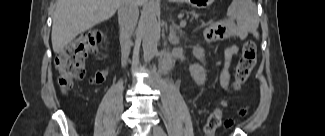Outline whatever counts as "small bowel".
I'll return each instance as SVG.
<instances>
[{"mask_svg": "<svg viewBox=\"0 0 325 136\" xmlns=\"http://www.w3.org/2000/svg\"><path fill=\"white\" fill-rule=\"evenodd\" d=\"M255 30L254 24L245 17L239 19L238 24L220 23L207 27L204 30V38L206 41L215 42L230 37H238L244 39ZM239 52L237 46H231L225 51L223 67L220 73V83L225 90H228L230 83V67L232 58ZM109 75V69L106 67L97 71L91 78L90 83L98 85L103 83ZM233 120H227L224 123L225 128H229L233 125Z\"/></svg>", "mask_w": 325, "mask_h": 136, "instance_id": "small-bowel-1", "label": "small bowel"}]
</instances>
